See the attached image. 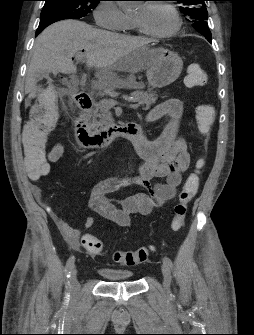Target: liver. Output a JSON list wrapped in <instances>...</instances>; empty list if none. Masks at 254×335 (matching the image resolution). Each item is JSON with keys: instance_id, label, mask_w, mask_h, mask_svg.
<instances>
[{"instance_id": "obj_1", "label": "liver", "mask_w": 254, "mask_h": 335, "mask_svg": "<svg viewBox=\"0 0 254 335\" xmlns=\"http://www.w3.org/2000/svg\"><path fill=\"white\" fill-rule=\"evenodd\" d=\"M148 39L96 29L85 22L64 20L47 27L36 39L28 68L25 92L36 97L39 74L76 72L72 58L84 50L86 65L96 69L98 82L112 88L119 83L116 72L131 74L148 69L153 62Z\"/></svg>"}]
</instances>
